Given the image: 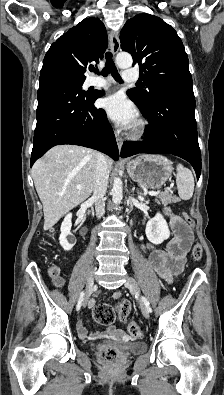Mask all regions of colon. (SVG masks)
<instances>
[{
  "instance_id": "1",
  "label": "colon",
  "mask_w": 224,
  "mask_h": 395,
  "mask_svg": "<svg viewBox=\"0 0 224 395\" xmlns=\"http://www.w3.org/2000/svg\"><path fill=\"white\" fill-rule=\"evenodd\" d=\"M183 218L185 225L179 226V229L182 231H187L190 228L192 222L187 214H183ZM191 255L195 261L201 260L203 256V249L199 243H195L193 245ZM59 272L60 271L57 266H52L49 269V274L53 278H57L59 276ZM129 312L130 304L127 301L121 302L116 307L107 303H102L93 309L92 317L93 320L100 325H111L114 323L116 318H118L121 322L127 324L129 334L132 337L138 338L142 336L143 330L135 320L130 319ZM101 357L106 361L114 362L117 360L118 354L113 349H104L101 352Z\"/></svg>"
}]
</instances>
